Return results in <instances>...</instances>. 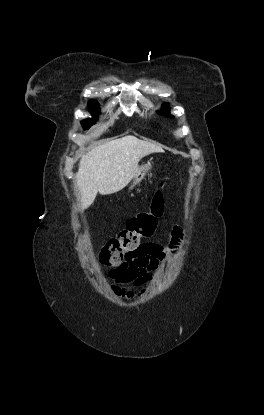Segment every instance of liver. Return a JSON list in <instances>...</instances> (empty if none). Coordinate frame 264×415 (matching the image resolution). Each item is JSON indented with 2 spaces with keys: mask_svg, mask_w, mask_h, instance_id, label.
Segmentation results:
<instances>
[{
  "mask_svg": "<svg viewBox=\"0 0 264 415\" xmlns=\"http://www.w3.org/2000/svg\"><path fill=\"white\" fill-rule=\"evenodd\" d=\"M163 149L132 135L101 144L82 156L75 176L81 209L94 202L97 193L108 195L122 190L134 178L139 161Z\"/></svg>",
  "mask_w": 264,
  "mask_h": 415,
  "instance_id": "1",
  "label": "liver"
}]
</instances>
